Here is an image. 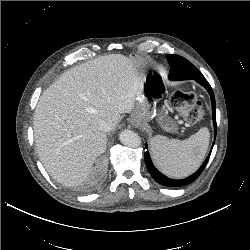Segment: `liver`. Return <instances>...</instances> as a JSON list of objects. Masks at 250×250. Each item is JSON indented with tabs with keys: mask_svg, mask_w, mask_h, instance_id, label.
<instances>
[{
	"mask_svg": "<svg viewBox=\"0 0 250 250\" xmlns=\"http://www.w3.org/2000/svg\"><path fill=\"white\" fill-rule=\"evenodd\" d=\"M145 76L134 59L105 55L63 73L48 87L34 113L37 152L50 176L66 186L85 181L106 150L108 121L114 129L121 114L131 113Z\"/></svg>",
	"mask_w": 250,
	"mask_h": 250,
	"instance_id": "6515ba94",
	"label": "liver"
}]
</instances>
